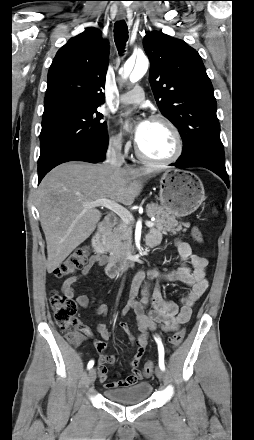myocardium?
I'll use <instances>...</instances> for the list:
<instances>
[{"label":"myocardium","instance_id":"obj_1","mask_svg":"<svg viewBox=\"0 0 254 440\" xmlns=\"http://www.w3.org/2000/svg\"><path fill=\"white\" fill-rule=\"evenodd\" d=\"M151 121L163 123L170 128V130L173 132L175 139H176V150H175L174 154L168 158L156 159V158H152V157L145 155L141 151V149L139 148V146L137 144L135 147V153H136L137 157L144 162L154 164V165H169V164L176 162L181 157V155L183 154V151H184V139H183V136H182L179 128L176 126V124L172 120H170L169 118H167L165 116H161V115L153 116L151 118Z\"/></svg>","mask_w":254,"mask_h":440}]
</instances>
